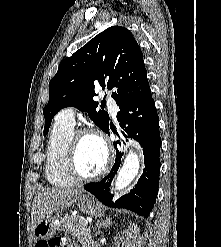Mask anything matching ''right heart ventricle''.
<instances>
[{
	"label": "right heart ventricle",
	"mask_w": 221,
	"mask_h": 247,
	"mask_svg": "<svg viewBox=\"0 0 221 247\" xmlns=\"http://www.w3.org/2000/svg\"><path fill=\"white\" fill-rule=\"evenodd\" d=\"M74 132L70 126L56 119L46 147L45 175L48 182L55 187H69L77 181L67 170V152Z\"/></svg>",
	"instance_id": "right-heart-ventricle-1"
}]
</instances>
